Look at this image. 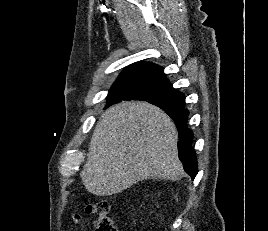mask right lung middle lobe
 <instances>
[{"instance_id": "right-lung-middle-lobe-1", "label": "right lung middle lobe", "mask_w": 268, "mask_h": 231, "mask_svg": "<svg viewBox=\"0 0 268 231\" xmlns=\"http://www.w3.org/2000/svg\"><path fill=\"white\" fill-rule=\"evenodd\" d=\"M126 92H130L139 99L164 101L179 106L185 105V97L182 93L173 89L172 86L159 83H145L129 89L111 88L107 99L110 100Z\"/></svg>"}]
</instances>
